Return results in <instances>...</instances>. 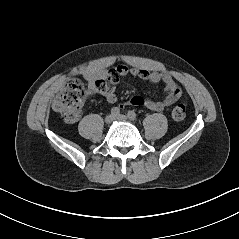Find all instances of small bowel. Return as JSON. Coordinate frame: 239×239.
I'll return each mask as SVG.
<instances>
[{
    "mask_svg": "<svg viewBox=\"0 0 239 239\" xmlns=\"http://www.w3.org/2000/svg\"><path fill=\"white\" fill-rule=\"evenodd\" d=\"M128 75L141 81H148L153 84L162 83L164 86L165 97L163 100L157 101L134 96L130 100V103L134 105H141L151 111L160 112L176 103L182 95L181 88L170 75L160 72H149L146 69L129 68L124 65H119L112 71L105 73L88 72L86 73L85 78L89 84L90 92L92 94H100L105 97L108 102L114 103L117 101L116 89L114 85L121 77ZM99 79H109L103 90H99L96 86V82Z\"/></svg>",
    "mask_w": 239,
    "mask_h": 239,
    "instance_id": "c3829d8e",
    "label": "small bowel"
}]
</instances>
